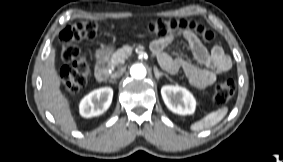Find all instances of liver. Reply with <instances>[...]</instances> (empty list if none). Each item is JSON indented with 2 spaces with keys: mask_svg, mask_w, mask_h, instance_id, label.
Instances as JSON below:
<instances>
[{
  "mask_svg": "<svg viewBox=\"0 0 283 162\" xmlns=\"http://www.w3.org/2000/svg\"><path fill=\"white\" fill-rule=\"evenodd\" d=\"M42 80L43 99L47 109L64 129L76 130L77 124L72 116L69 100L60 90L61 79L55 69L54 49L51 50L45 62Z\"/></svg>",
  "mask_w": 283,
  "mask_h": 162,
  "instance_id": "obj_1",
  "label": "liver"
}]
</instances>
